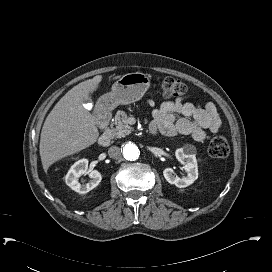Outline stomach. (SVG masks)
Here are the masks:
<instances>
[{
	"mask_svg": "<svg viewBox=\"0 0 272 272\" xmlns=\"http://www.w3.org/2000/svg\"><path fill=\"white\" fill-rule=\"evenodd\" d=\"M150 80V76L144 73L126 74L112 85L111 92L103 95L100 101L108 110L136 102L149 88Z\"/></svg>",
	"mask_w": 272,
	"mask_h": 272,
	"instance_id": "1",
	"label": "stomach"
}]
</instances>
